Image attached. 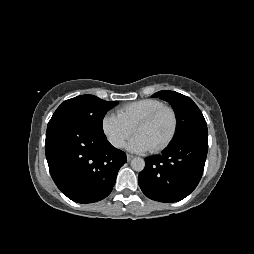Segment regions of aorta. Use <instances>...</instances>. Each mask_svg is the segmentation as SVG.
I'll use <instances>...</instances> for the list:
<instances>
[{
	"instance_id": "obj_1",
	"label": "aorta",
	"mask_w": 254,
	"mask_h": 254,
	"mask_svg": "<svg viewBox=\"0 0 254 254\" xmlns=\"http://www.w3.org/2000/svg\"><path fill=\"white\" fill-rule=\"evenodd\" d=\"M131 167L133 170L135 171H142L145 167V161L144 159L140 158V157H136L131 161Z\"/></svg>"
}]
</instances>
